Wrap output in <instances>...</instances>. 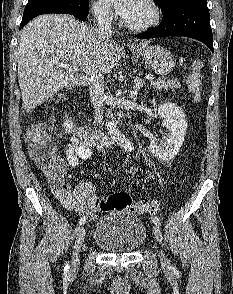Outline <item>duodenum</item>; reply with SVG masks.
Returning a JSON list of instances; mask_svg holds the SVG:
<instances>
[{"label": "duodenum", "instance_id": "1", "mask_svg": "<svg viewBox=\"0 0 233 294\" xmlns=\"http://www.w3.org/2000/svg\"><path fill=\"white\" fill-rule=\"evenodd\" d=\"M75 133L82 142L89 145L90 147H99L103 145H109L111 143V139L104 132L88 129L82 124H77Z\"/></svg>", "mask_w": 233, "mask_h": 294}]
</instances>
